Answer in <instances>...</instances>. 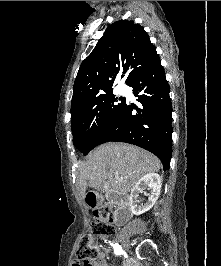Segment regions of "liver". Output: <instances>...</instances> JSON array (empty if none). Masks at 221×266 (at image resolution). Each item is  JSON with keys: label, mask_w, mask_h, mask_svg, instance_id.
<instances>
[{"label": "liver", "mask_w": 221, "mask_h": 266, "mask_svg": "<svg viewBox=\"0 0 221 266\" xmlns=\"http://www.w3.org/2000/svg\"><path fill=\"white\" fill-rule=\"evenodd\" d=\"M160 161L148 151L126 143H107L89 153L78 174L82 196L88 187L103 185L105 191L127 193L147 173L159 171ZM118 175L122 181L115 180Z\"/></svg>", "instance_id": "liver-1"}]
</instances>
